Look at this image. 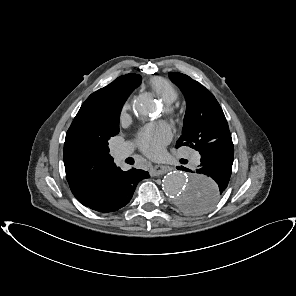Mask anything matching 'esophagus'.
Instances as JSON below:
<instances>
[{"label": "esophagus", "mask_w": 296, "mask_h": 296, "mask_svg": "<svg viewBox=\"0 0 296 296\" xmlns=\"http://www.w3.org/2000/svg\"><path fill=\"white\" fill-rule=\"evenodd\" d=\"M171 169L167 166L164 165H155L151 170H150V174L151 176H160L162 174L167 173L168 171H170Z\"/></svg>", "instance_id": "1"}]
</instances>
